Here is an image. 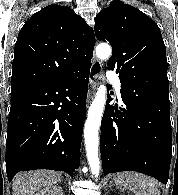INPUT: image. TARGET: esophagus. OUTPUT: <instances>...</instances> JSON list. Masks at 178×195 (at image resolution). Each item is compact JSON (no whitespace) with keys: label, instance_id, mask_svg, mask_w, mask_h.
Returning a JSON list of instances; mask_svg holds the SVG:
<instances>
[{"label":"esophagus","instance_id":"1","mask_svg":"<svg viewBox=\"0 0 178 195\" xmlns=\"http://www.w3.org/2000/svg\"><path fill=\"white\" fill-rule=\"evenodd\" d=\"M101 74H102V64L96 57H94L90 69V89L88 91V96H87V104H86L87 107L90 105L91 101L93 100L99 80L101 79Z\"/></svg>","mask_w":178,"mask_h":195}]
</instances>
